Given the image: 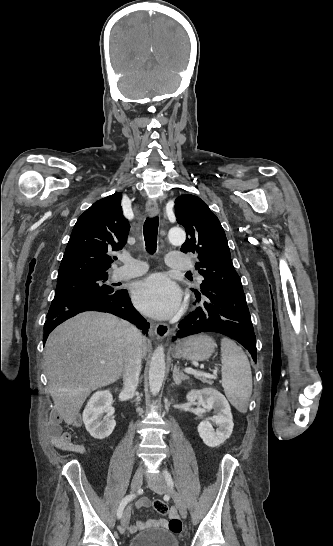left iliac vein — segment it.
Instances as JSON below:
<instances>
[{"instance_id": "1", "label": "left iliac vein", "mask_w": 333, "mask_h": 546, "mask_svg": "<svg viewBox=\"0 0 333 546\" xmlns=\"http://www.w3.org/2000/svg\"><path fill=\"white\" fill-rule=\"evenodd\" d=\"M148 485L153 491L159 494L168 493L173 498L181 517L183 519H186L187 508L183 499L178 494V492H176L174 489L169 488L168 484L163 478L157 477L155 479H151L148 481Z\"/></svg>"}]
</instances>
